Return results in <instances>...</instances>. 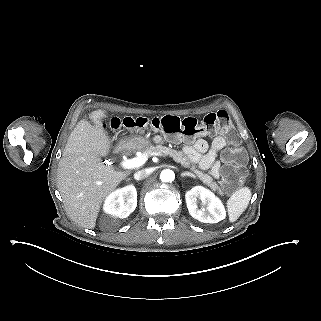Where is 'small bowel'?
Returning <instances> with one entry per match:
<instances>
[{"instance_id": "c3829d8e", "label": "small bowel", "mask_w": 321, "mask_h": 321, "mask_svg": "<svg viewBox=\"0 0 321 321\" xmlns=\"http://www.w3.org/2000/svg\"><path fill=\"white\" fill-rule=\"evenodd\" d=\"M225 146V139L218 136L213 139L210 146L205 140L198 139L191 144L185 145L183 152L190 162L197 163L201 169H210L211 175L217 178L221 164L216 160V157Z\"/></svg>"}]
</instances>
